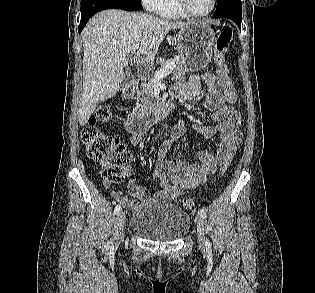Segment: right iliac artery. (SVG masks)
I'll return each instance as SVG.
<instances>
[{
	"label": "right iliac artery",
	"mask_w": 315,
	"mask_h": 293,
	"mask_svg": "<svg viewBox=\"0 0 315 293\" xmlns=\"http://www.w3.org/2000/svg\"><path fill=\"white\" fill-rule=\"evenodd\" d=\"M121 209H122L121 205H117L114 209V214L117 215L121 211ZM110 244H112V240H110L107 245H110Z\"/></svg>",
	"instance_id": "right-iliac-artery-1"
}]
</instances>
